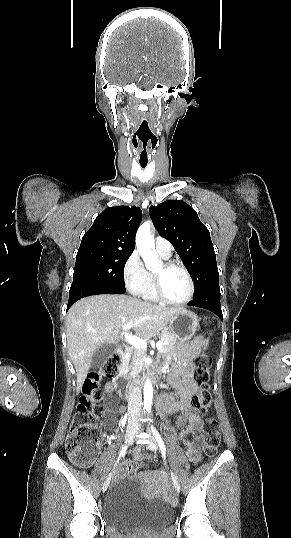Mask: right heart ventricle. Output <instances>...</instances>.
<instances>
[{"instance_id":"e07e8e85","label":"right heart ventricle","mask_w":291,"mask_h":538,"mask_svg":"<svg viewBox=\"0 0 291 538\" xmlns=\"http://www.w3.org/2000/svg\"><path fill=\"white\" fill-rule=\"evenodd\" d=\"M163 257V256H162ZM164 259H168L166 257H163ZM142 297L145 299V300H148V301H152V302H156L158 301V297L156 296L155 294V291H154V286H153V278H152V274L149 273V279H148V283H147V286L144 290V292L142 293Z\"/></svg>"}]
</instances>
